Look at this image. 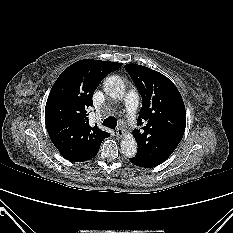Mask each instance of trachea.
<instances>
[{"label": "trachea", "mask_w": 233, "mask_h": 233, "mask_svg": "<svg viewBox=\"0 0 233 233\" xmlns=\"http://www.w3.org/2000/svg\"><path fill=\"white\" fill-rule=\"evenodd\" d=\"M103 125L110 128H116L117 120L115 117H108L103 121Z\"/></svg>", "instance_id": "3493384b"}]
</instances>
